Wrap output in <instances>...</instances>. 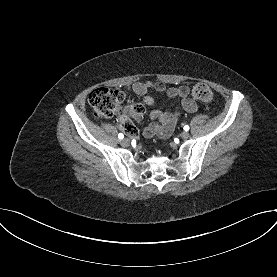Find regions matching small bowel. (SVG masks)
<instances>
[{
    "instance_id": "obj_1",
    "label": "small bowel",
    "mask_w": 277,
    "mask_h": 277,
    "mask_svg": "<svg viewBox=\"0 0 277 277\" xmlns=\"http://www.w3.org/2000/svg\"><path fill=\"white\" fill-rule=\"evenodd\" d=\"M150 90L164 92L168 98L178 99L179 105L174 111L153 110L150 113L151 122L142 129V135L146 138L153 136L161 138L169 137L172 134L182 111L194 113L198 109V105L195 100L189 97L190 90L187 86L167 88L162 83L144 81L134 82L126 89V91H131L138 96H141L146 105L153 106L155 104V100L153 97L148 95ZM124 116H129L135 119L138 123L142 122V116L131 114L126 108L122 110V118ZM129 135L133 137L137 136L138 130L136 129L135 133Z\"/></svg>"
}]
</instances>
